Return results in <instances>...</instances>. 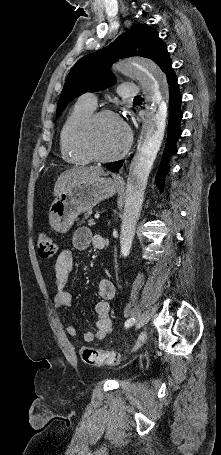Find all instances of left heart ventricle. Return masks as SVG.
<instances>
[{
	"mask_svg": "<svg viewBox=\"0 0 221 455\" xmlns=\"http://www.w3.org/2000/svg\"><path fill=\"white\" fill-rule=\"evenodd\" d=\"M126 141L124 125L116 118L104 117L93 129L91 144L100 155H110L120 150Z\"/></svg>",
	"mask_w": 221,
	"mask_h": 455,
	"instance_id": "left-heart-ventricle-1",
	"label": "left heart ventricle"
}]
</instances>
